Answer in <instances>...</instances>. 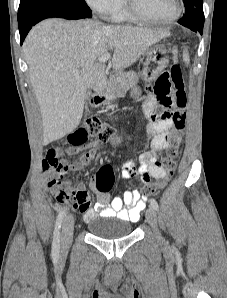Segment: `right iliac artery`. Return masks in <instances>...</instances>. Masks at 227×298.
Returning a JSON list of instances; mask_svg holds the SVG:
<instances>
[{
	"mask_svg": "<svg viewBox=\"0 0 227 298\" xmlns=\"http://www.w3.org/2000/svg\"><path fill=\"white\" fill-rule=\"evenodd\" d=\"M65 216V210H61L57 216L53 233L52 253L58 255L60 249V229Z\"/></svg>",
	"mask_w": 227,
	"mask_h": 298,
	"instance_id": "obj_1",
	"label": "right iliac artery"
}]
</instances>
